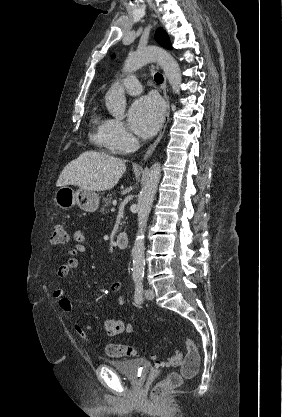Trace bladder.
<instances>
[{"instance_id":"obj_1","label":"bladder","mask_w":282,"mask_h":417,"mask_svg":"<svg viewBox=\"0 0 282 417\" xmlns=\"http://www.w3.org/2000/svg\"><path fill=\"white\" fill-rule=\"evenodd\" d=\"M106 364L124 375L130 383L141 385L150 374L151 363L145 358L106 360Z\"/></svg>"}]
</instances>
